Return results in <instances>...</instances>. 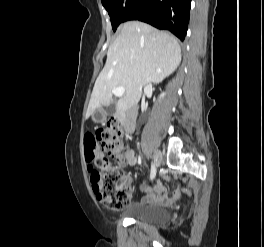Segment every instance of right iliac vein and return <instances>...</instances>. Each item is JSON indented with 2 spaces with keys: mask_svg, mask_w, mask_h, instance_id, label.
<instances>
[{
  "mask_svg": "<svg viewBox=\"0 0 264 247\" xmlns=\"http://www.w3.org/2000/svg\"><path fill=\"white\" fill-rule=\"evenodd\" d=\"M161 160H162L161 153L159 151H155V153H154V165L156 167H159Z\"/></svg>",
  "mask_w": 264,
  "mask_h": 247,
  "instance_id": "right-iliac-vein-1",
  "label": "right iliac vein"
}]
</instances>
